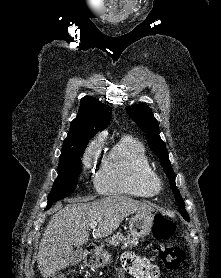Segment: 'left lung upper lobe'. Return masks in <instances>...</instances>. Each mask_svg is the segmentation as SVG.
<instances>
[{"instance_id": "obj_1", "label": "left lung upper lobe", "mask_w": 221, "mask_h": 278, "mask_svg": "<svg viewBox=\"0 0 221 278\" xmlns=\"http://www.w3.org/2000/svg\"><path fill=\"white\" fill-rule=\"evenodd\" d=\"M126 110L129 116L138 124L143 132L146 133V138L149 142L150 148L160 158V163L170 179L169 182L178 203L179 212L185 220L189 221V215L185 209L184 201L182 200L180 192L175 184V175L171 162L169 161L165 143L159 136V124L154 118L151 109L147 105H135L127 107Z\"/></svg>"}]
</instances>
